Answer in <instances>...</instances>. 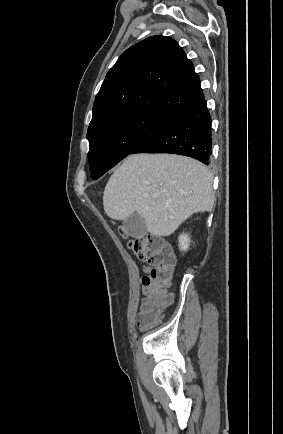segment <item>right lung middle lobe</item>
Segmentation results:
<instances>
[{
	"label": "right lung middle lobe",
	"mask_w": 283,
	"mask_h": 434,
	"mask_svg": "<svg viewBox=\"0 0 283 434\" xmlns=\"http://www.w3.org/2000/svg\"><path fill=\"white\" fill-rule=\"evenodd\" d=\"M169 118L135 112L107 119L88 128V158L93 179H98L163 127Z\"/></svg>",
	"instance_id": "right-lung-middle-lobe-1"
}]
</instances>
